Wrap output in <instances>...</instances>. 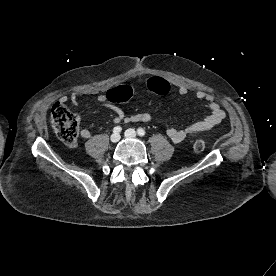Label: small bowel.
I'll return each instance as SVG.
<instances>
[{
  "instance_id": "c3829d8e",
  "label": "small bowel",
  "mask_w": 276,
  "mask_h": 276,
  "mask_svg": "<svg viewBox=\"0 0 276 276\" xmlns=\"http://www.w3.org/2000/svg\"><path fill=\"white\" fill-rule=\"evenodd\" d=\"M155 79L151 78L150 80ZM149 80V81H150ZM148 81V83H149ZM132 94L134 91L133 86L126 85L125 86ZM149 87V85H148ZM150 88V87H149ZM150 90H152L150 88ZM154 92H159L160 94H165L169 91V86H165L163 84H160L159 90H152ZM177 92L179 95H186L188 92V89L185 86H179L177 89ZM92 94V92H73L69 97L68 96H62L60 100L62 102L70 101L72 104L77 105L80 101V99L83 96ZM195 97L206 103L208 109L210 110V114L205 117L202 120H199L197 122H194L193 124L187 126L184 129H176V128H169L166 131L167 136L169 139L175 143H181L184 140L188 138H192L194 136H197L200 133H203L205 131H209L216 127L218 124L222 122V120L225 118V112L220 106V104L216 101L215 97L207 92L204 91H198L195 94ZM97 100L108 109L112 110L115 113L114 123L119 124L121 122L125 123H131V122H144L148 123L153 120V116L148 111H142L133 115H126L123 111V109L118 106L117 104L111 102L106 95L100 94L97 96ZM80 135L82 138H89L91 136V132L89 129H82L80 132Z\"/></svg>"
}]
</instances>
